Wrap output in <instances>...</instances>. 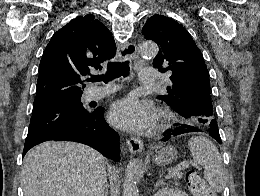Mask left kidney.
<instances>
[{
	"label": "left kidney",
	"mask_w": 260,
	"mask_h": 196,
	"mask_svg": "<svg viewBox=\"0 0 260 196\" xmlns=\"http://www.w3.org/2000/svg\"><path fill=\"white\" fill-rule=\"evenodd\" d=\"M154 196H187V194L183 190H178V188H162Z\"/></svg>",
	"instance_id": "1"
}]
</instances>
